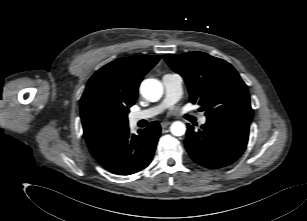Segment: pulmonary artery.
Wrapping results in <instances>:
<instances>
[{
  "instance_id": "obj_1",
  "label": "pulmonary artery",
  "mask_w": 307,
  "mask_h": 221,
  "mask_svg": "<svg viewBox=\"0 0 307 221\" xmlns=\"http://www.w3.org/2000/svg\"><path fill=\"white\" fill-rule=\"evenodd\" d=\"M162 83L165 89V98L163 102L155 107L130 114L129 121L131 125H135L141 120L152 118L164 108L178 101L183 93V78L176 73H167L162 77ZM206 117L200 118V123L205 124Z\"/></svg>"
}]
</instances>
